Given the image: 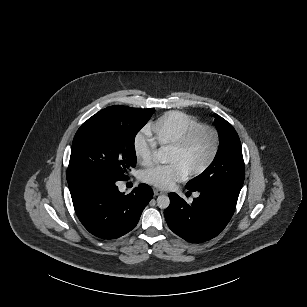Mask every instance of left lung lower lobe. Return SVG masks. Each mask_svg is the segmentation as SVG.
<instances>
[{
  "mask_svg": "<svg viewBox=\"0 0 307 307\" xmlns=\"http://www.w3.org/2000/svg\"><path fill=\"white\" fill-rule=\"evenodd\" d=\"M200 196L191 204L170 193L165 210L169 228L192 243H201L217 236L230 221L238 197L222 191H198Z\"/></svg>",
  "mask_w": 307,
  "mask_h": 307,
  "instance_id": "1",
  "label": "left lung lower lobe"
}]
</instances>
